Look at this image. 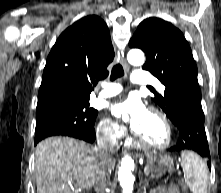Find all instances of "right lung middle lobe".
<instances>
[{"label": "right lung middle lobe", "instance_id": "right-lung-middle-lobe-1", "mask_svg": "<svg viewBox=\"0 0 221 193\" xmlns=\"http://www.w3.org/2000/svg\"><path fill=\"white\" fill-rule=\"evenodd\" d=\"M98 111L87 101H60L38 105L35 140L69 133L95 134Z\"/></svg>", "mask_w": 221, "mask_h": 193}]
</instances>
